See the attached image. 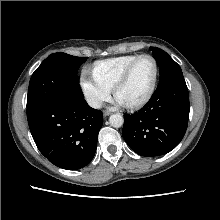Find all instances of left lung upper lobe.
Returning a JSON list of instances; mask_svg holds the SVG:
<instances>
[{"label": "left lung upper lobe", "mask_w": 220, "mask_h": 220, "mask_svg": "<svg viewBox=\"0 0 220 220\" xmlns=\"http://www.w3.org/2000/svg\"><path fill=\"white\" fill-rule=\"evenodd\" d=\"M159 66L160 80L157 88L172 81L184 79L181 67L162 49L150 47Z\"/></svg>", "instance_id": "5c2ea615"}]
</instances>
